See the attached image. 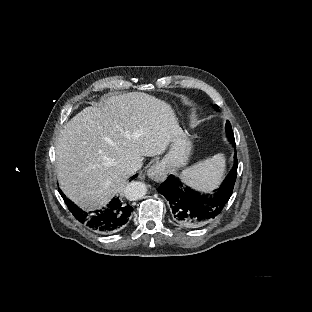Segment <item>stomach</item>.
<instances>
[{"instance_id": "obj_1", "label": "stomach", "mask_w": 312, "mask_h": 312, "mask_svg": "<svg viewBox=\"0 0 312 312\" xmlns=\"http://www.w3.org/2000/svg\"><path fill=\"white\" fill-rule=\"evenodd\" d=\"M192 144L190 139L181 132L171 145L170 152L159 162L160 166L168 171H176L186 165Z\"/></svg>"}]
</instances>
